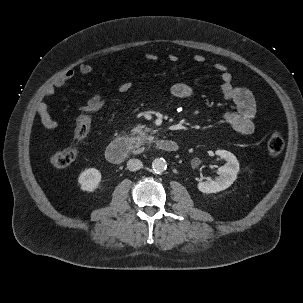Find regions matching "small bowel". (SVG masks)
<instances>
[{
  "instance_id": "small-bowel-1",
  "label": "small bowel",
  "mask_w": 303,
  "mask_h": 303,
  "mask_svg": "<svg viewBox=\"0 0 303 303\" xmlns=\"http://www.w3.org/2000/svg\"><path fill=\"white\" fill-rule=\"evenodd\" d=\"M144 59L148 62H155L158 60V56L155 53H148L144 55ZM168 59L172 63L179 62V57L175 54L169 55ZM193 60L198 64H202L206 61V58L201 54H196ZM213 68L221 75L222 84L220 90L222 97L235 107L233 111H229L224 115L225 123L238 135L248 136L252 134L254 131V118L258 110V103L253 93L245 87L234 84L233 75L228 71L225 64L217 62L213 64ZM93 70L94 67L90 63H82L79 66L80 73L84 75L92 73ZM74 76L75 72L72 69L64 72L45 90V96L53 95L56 89L63 87ZM132 86V81L126 80L120 83L116 90L119 93H126ZM171 94L178 99H189L193 96L194 90L189 84L180 82L171 87ZM100 96H103V93H97L93 97ZM36 112L43 126L48 129H53L57 126V122L49 113L46 103H39L36 107Z\"/></svg>"
}]
</instances>
